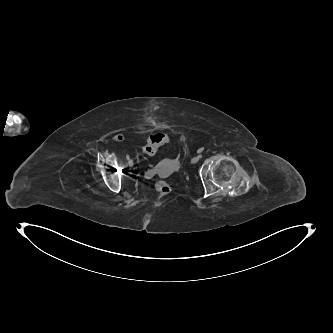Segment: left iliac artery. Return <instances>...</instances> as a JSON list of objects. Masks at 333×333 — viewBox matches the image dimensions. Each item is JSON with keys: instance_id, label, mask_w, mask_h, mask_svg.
<instances>
[{"instance_id": "left-iliac-artery-1", "label": "left iliac artery", "mask_w": 333, "mask_h": 333, "mask_svg": "<svg viewBox=\"0 0 333 333\" xmlns=\"http://www.w3.org/2000/svg\"><path fill=\"white\" fill-rule=\"evenodd\" d=\"M202 151H203V149H202V148L198 150V152H202ZM198 157H199V158H201V157H202V155H198Z\"/></svg>"}]
</instances>
